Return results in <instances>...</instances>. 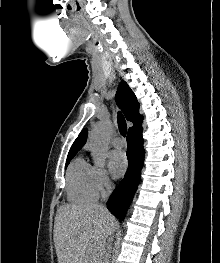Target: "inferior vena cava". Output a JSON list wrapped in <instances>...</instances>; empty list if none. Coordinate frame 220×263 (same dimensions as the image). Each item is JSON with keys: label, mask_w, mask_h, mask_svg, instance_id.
Listing matches in <instances>:
<instances>
[{"label": "inferior vena cava", "mask_w": 220, "mask_h": 263, "mask_svg": "<svg viewBox=\"0 0 220 263\" xmlns=\"http://www.w3.org/2000/svg\"><path fill=\"white\" fill-rule=\"evenodd\" d=\"M107 199H108V197H107V196H104V200H107ZM101 207H102L104 210L107 211V208H106L105 205H101ZM107 241H108V242H107L106 248H107V252L109 253V252L111 251V249H112V246H111L112 238H108ZM106 257H108V254H106ZM106 263H108V261H107Z\"/></svg>", "instance_id": "1"}]
</instances>
